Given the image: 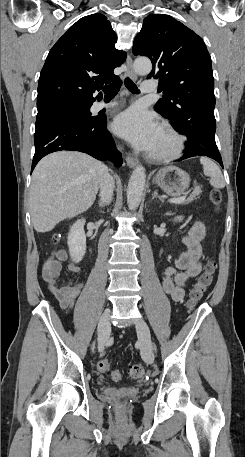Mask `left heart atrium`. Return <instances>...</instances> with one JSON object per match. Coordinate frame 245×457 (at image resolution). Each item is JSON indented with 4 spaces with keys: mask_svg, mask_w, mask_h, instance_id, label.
<instances>
[{
    "mask_svg": "<svg viewBox=\"0 0 245 457\" xmlns=\"http://www.w3.org/2000/svg\"><path fill=\"white\" fill-rule=\"evenodd\" d=\"M114 132L140 150L152 149L161 134L158 119L142 108L121 113L114 122Z\"/></svg>",
    "mask_w": 245,
    "mask_h": 457,
    "instance_id": "1",
    "label": "left heart atrium"
}]
</instances>
